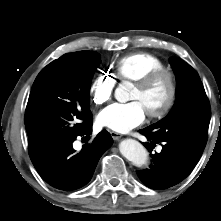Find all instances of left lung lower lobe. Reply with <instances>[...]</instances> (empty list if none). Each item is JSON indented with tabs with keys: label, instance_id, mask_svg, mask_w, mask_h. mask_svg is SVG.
<instances>
[{
	"label": "left lung lower lobe",
	"instance_id": "0a47b994",
	"mask_svg": "<svg viewBox=\"0 0 221 221\" xmlns=\"http://www.w3.org/2000/svg\"><path fill=\"white\" fill-rule=\"evenodd\" d=\"M148 141L143 143L151 150V146L161 143L160 153L151 154L152 163L149 168L137 171L141 181L151 189H167L184 180L200 159L204 148L190 142L176 139H155L149 127L140 130Z\"/></svg>",
	"mask_w": 221,
	"mask_h": 221
}]
</instances>
